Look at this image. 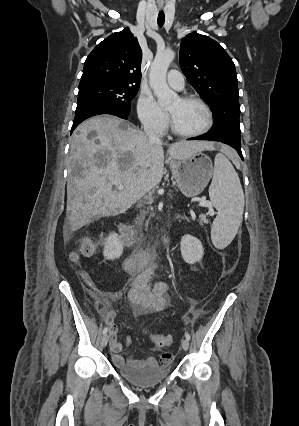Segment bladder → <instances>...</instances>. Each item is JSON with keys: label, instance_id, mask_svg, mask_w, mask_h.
<instances>
[{"label": "bladder", "instance_id": "31cf9c89", "mask_svg": "<svg viewBox=\"0 0 299 426\" xmlns=\"http://www.w3.org/2000/svg\"><path fill=\"white\" fill-rule=\"evenodd\" d=\"M118 373L124 380L136 387L151 388L167 379L170 375V368L167 366L123 368Z\"/></svg>", "mask_w": 299, "mask_h": 426}]
</instances>
